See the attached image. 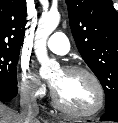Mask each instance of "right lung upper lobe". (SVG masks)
I'll list each match as a JSON object with an SVG mask.
<instances>
[{
  "instance_id": "1",
  "label": "right lung upper lobe",
  "mask_w": 118,
  "mask_h": 123,
  "mask_svg": "<svg viewBox=\"0 0 118 123\" xmlns=\"http://www.w3.org/2000/svg\"><path fill=\"white\" fill-rule=\"evenodd\" d=\"M26 10V0H0V48L20 51Z\"/></svg>"
}]
</instances>
